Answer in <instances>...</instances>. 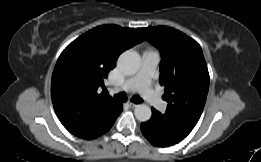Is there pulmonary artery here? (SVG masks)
I'll use <instances>...</instances> for the list:
<instances>
[{"label":"pulmonary artery","instance_id":"obj_1","mask_svg":"<svg viewBox=\"0 0 261 162\" xmlns=\"http://www.w3.org/2000/svg\"><path fill=\"white\" fill-rule=\"evenodd\" d=\"M161 56L158 50L148 49L141 56V63L137 73L126 79L120 86L123 91H139L140 94L158 111H164L167 104L151 87Z\"/></svg>","mask_w":261,"mask_h":162}]
</instances>
